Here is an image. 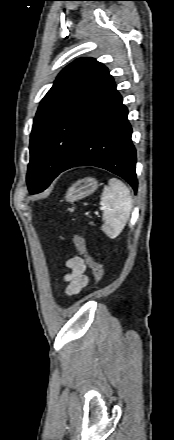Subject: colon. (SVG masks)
I'll return each mask as SVG.
<instances>
[{
  "mask_svg": "<svg viewBox=\"0 0 174 440\" xmlns=\"http://www.w3.org/2000/svg\"><path fill=\"white\" fill-rule=\"evenodd\" d=\"M71 237L78 252L84 256L86 264L91 270L96 283H100L104 277L102 266L88 254L86 242L81 235L73 233Z\"/></svg>",
  "mask_w": 174,
  "mask_h": 440,
  "instance_id": "colon-1",
  "label": "colon"
}]
</instances>
